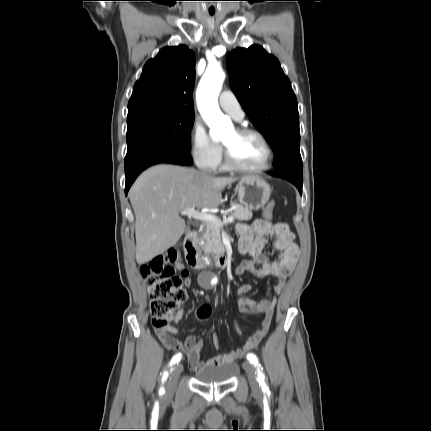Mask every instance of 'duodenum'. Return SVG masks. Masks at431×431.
<instances>
[{
	"label": "duodenum",
	"instance_id": "obj_1",
	"mask_svg": "<svg viewBox=\"0 0 431 431\" xmlns=\"http://www.w3.org/2000/svg\"><path fill=\"white\" fill-rule=\"evenodd\" d=\"M196 232L192 231L187 234L184 239V251L187 263L194 269L204 267L203 255L199 252L196 246ZM212 265L216 267H223L226 264V259L222 253H215L209 257Z\"/></svg>",
	"mask_w": 431,
	"mask_h": 431
}]
</instances>
